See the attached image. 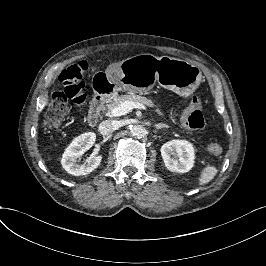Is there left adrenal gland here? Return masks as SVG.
<instances>
[{
    "label": "left adrenal gland",
    "instance_id": "left-adrenal-gland-1",
    "mask_svg": "<svg viewBox=\"0 0 266 266\" xmlns=\"http://www.w3.org/2000/svg\"><path fill=\"white\" fill-rule=\"evenodd\" d=\"M156 129H161V128H168L169 126L163 123H159L155 125Z\"/></svg>",
    "mask_w": 266,
    "mask_h": 266
}]
</instances>
